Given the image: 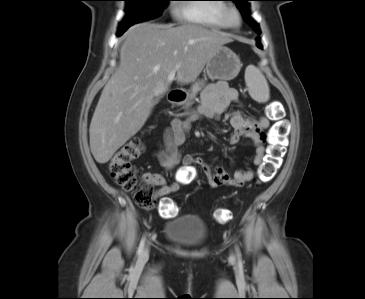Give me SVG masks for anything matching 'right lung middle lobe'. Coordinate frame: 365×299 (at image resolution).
Returning <instances> with one entry per match:
<instances>
[{"label":"right lung middle lobe","mask_w":365,"mask_h":299,"mask_svg":"<svg viewBox=\"0 0 365 299\" xmlns=\"http://www.w3.org/2000/svg\"><path fill=\"white\" fill-rule=\"evenodd\" d=\"M127 2L126 15L120 27L131 26L135 23L156 18L170 0H124Z\"/></svg>","instance_id":"obj_1"}]
</instances>
